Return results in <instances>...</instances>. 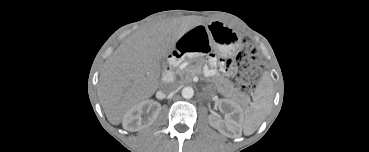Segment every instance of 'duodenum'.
I'll return each mask as SVG.
<instances>
[{
  "mask_svg": "<svg viewBox=\"0 0 369 152\" xmlns=\"http://www.w3.org/2000/svg\"><path fill=\"white\" fill-rule=\"evenodd\" d=\"M174 58H176L174 55H171L169 58V65L165 68L163 74H162V82L163 83H170L173 80L174 72Z\"/></svg>",
  "mask_w": 369,
  "mask_h": 152,
  "instance_id": "duodenum-1",
  "label": "duodenum"
}]
</instances>
